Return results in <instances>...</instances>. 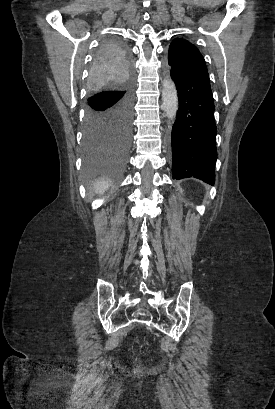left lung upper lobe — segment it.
Instances as JSON below:
<instances>
[{
	"label": "left lung upper lobe",
	"mask_w": 275,
	"mask_h": 409,
	"mask_svg": "<svg viewBox=\"0 0 275 409\" xmlns=\"http://www.w3.org/2000/svg\"><path fill=\"white\" fill-rule=\"evenodd\" d=\"M171 70L210 83L205 60L197 47L184 39H175L169 47Z\"/></svg>",
	"instance_id": "1"
}]
</instances>
